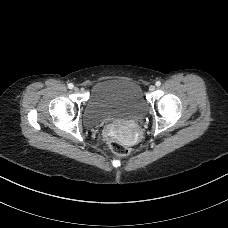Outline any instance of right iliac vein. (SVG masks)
Returning a JSON list of instances; mask_svg holds the SVG:
<instances>
[{
    "label": "right iliac vein",
    "instance_id": "63e3f726",
    "mask_svg": "<svg viewBox=\"0 0 228 228\" xmlns=\"http://www.w3.org/2000/svg\"><path fill=\"white\" fill-rule=\"evenodd\" d=\"M74 90H75V91H78L79 89H78V87H74Z\"/></svg>",
    "mask_w": 228,
    "mask_h": 228
}]
</instances>
